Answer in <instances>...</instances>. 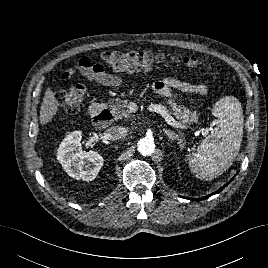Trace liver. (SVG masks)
<instances>
[{
	"mask_svg": "<svg viewBox=\"0 0 268 268\" xmlns=\"http://www.w3.org/2000/svg\"><path fill=\"white\" fill-rule=\"evenodd\" d=\"M58 111V101L55 98L53 91L48 88L45 92L43 102L40 109V123L42 125L50 122Z\"/></svg>",
	"mask_w": 268,
	"mask_h": 268,
	"instance_id": "1",
	"label": "liver"
}]
</instances>
